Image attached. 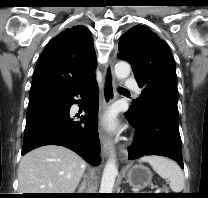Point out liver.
<instances>
[{"instance_id":"obj_1","label":"liver","mask_w":208,"mask_h":198,"mask_svg":"<svg viewBox=\"0 0 208 198\" xmlns=\"http://www.w3.org/2000/svg\"><path fill=\"white\" fill-rule=\"evenodd\" d=\"M86 162L75 152L45 145L27 153L18 169L19 192L74 193Z\"/></svg>"}]
</instances>
